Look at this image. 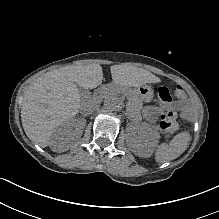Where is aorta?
Instances as JSON below:
<instances>
[{
    "instance_id": "obj_1",
    "label": "aorta",
    "mask_w": 219,
    "mask_h": 219,
    "mask_svg": "<svg viewBox=\"0 0 219 219\" xmlns=\"http://www.w3.org/2000/svg\"><path fill=\"white\" fill-rule=\"evenodd\" d=\"M104 108L107 111L113 112L118 110V102L115 98H107L104 100Z\"/></svg>"
}]
</instances>
